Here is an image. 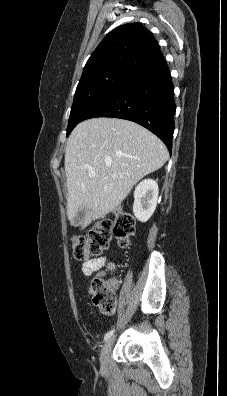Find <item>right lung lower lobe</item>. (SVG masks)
<instances>
[{
  "instance_id": "98d812e1",
  "label": "right lung lower lobe",
  "mask_w": 227,
  "mask_h": 396,
  "mask_svg": "<svg viewBox=\"0 0 227 396\" xmlns=\"http://www.w3.org/2000/svg\"><path fill=\"white\" fill-rule=\"evenodd\" d=\"M175 109L170 71L159 52L132 70L83 120L112 117L136 122L157 135L171 152Z\"/></svg>"
}]
</instances>
